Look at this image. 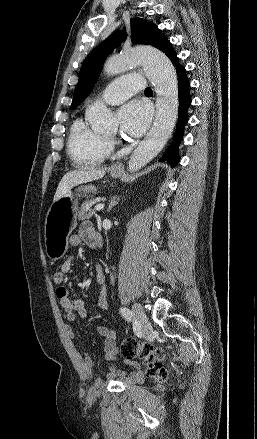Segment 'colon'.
Instances as JSON below:
<instances>
[{
    "instance_id": "5ec220e1",
    "label": "colon",
    "mask_w": 257,
    "mask_h": 439,
    "mask_svg": "<svg viewBox=\"0 0 257 439\" xmlns=\"http://www.w3.org/2000/svg\"><path fill=\"white\" fill-rule=\"evenodd\" d=\"M54 282H63L64 275L58 271L54 274ZM120 353L126 359L140 357L146 365V376L155 383L164 382L168 377L167 369L164 365V353L161 349L150 344L138 343L132 338L124 339L120 344Z\"/></svg>"
}]
</instances>
